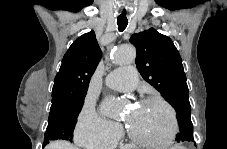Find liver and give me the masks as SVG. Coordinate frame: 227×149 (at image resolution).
<instances>
[{
	"label": "liver",
	"instance_id": "liver-1",
	"mask_svg": "<svg viewBox=\"0 0 227 149\" xmlns=\"http://www.w3.org/2000/svg\"><path fill=\"white\" fill-rule=\"evenodd\" d=\"M46 149H77V147L65 141H56L50 143Z\"/></svg>",
	"mask_w": 227,
	"mask_h": 149
}]
</instances>
